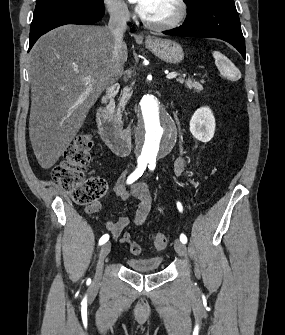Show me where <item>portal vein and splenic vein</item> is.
Segmentation results:
<instances>
[{
	"label": "portal vein and splenic vein",
	"mask_w": 285,
	"mask_h": 335,
	"mask_svg": "<svg viewBox=\"0 0 285 335\" xmlns=\"http://www.w3.org/2000/svg\"><path fill=\"white\" fill-rule=\"evenodd\" d=\"M176 76H178L176 72H171V74H167L166 78H168V80H172V78H176ZM93 80V76H85V78H82V82H87V84H89V82H93Z\"/></svg>",
	"instance_id": "18ae733b"
}]
</instances>
